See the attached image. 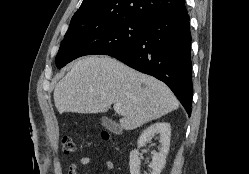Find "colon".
Listing matches in <instances>:
<instances>
[{"label":"colon","instance_id":"obj_1","mask_svg":"<svg viewBox=\"0 0 249 174\" xmlns=\"http://www.w3.org/2000/svg\"><path fill=\"white\" fill-rule=\"evenodd\" d=\"M102 138L104 140L108 141L110 139L109 133L103 132ZM62 147H63V151L66 154H74L76 152V145L70 136H63L62 137Z\"/></svg>","mask_w":249,"mask_h":174}]
</instances>
